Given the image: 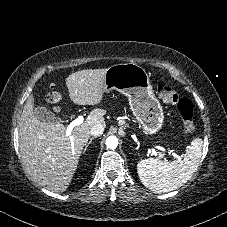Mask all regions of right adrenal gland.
I'll use <instances>...</instances> for the list:
<instances>
[{"mask_svg":"<svg viewBox=\"0 0 227 227\" xmlns=\"http://www.w3.org/2000/svg\"><path fill=\"white\" fill-rule=\"evenodd\" d=\"M96 137H91L89 142L86 144L85 148H84V152L86 151V149L88 148V146L91 144L92 140H94Z\"/></svg>","mask_w":227,"mask_h":227,"instance_id":"right-adrenal-gland-1","label":"right adrenal gland"}]
</instances>
